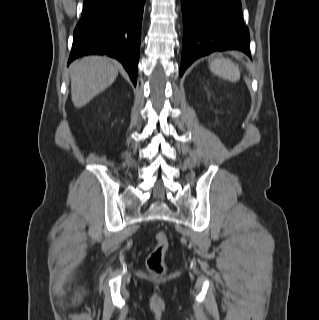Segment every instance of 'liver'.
I'll return each mask as SVG.
<instances>
[{
    "label": "liver",
    "mask_w": 319,
    "mask_h": 320,
    "mask_svg": "<svg viewBox=\"0 0 319 320\" xmlns=\"http://www.w3.org/2000/svg\"><path fill=\"white\" fill-rule=\"evenodd\" d=\"M118 76V67L106 56H86L70 66L71 99L81 108L108 88Z\"/></svg>",
    "instance_id": "obj_1"
}]
</instances>
